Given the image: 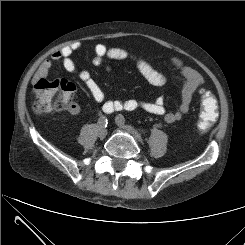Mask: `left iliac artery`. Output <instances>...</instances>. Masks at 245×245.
I'll return each instance as SVG.
<instances>
[{
	"instance_id": "1",
	"label": "left iliac artery",
	"mask_w": 245,
	"mask_h": 245,
	"mask_svg": "<svg viewBox=\"0 0 245 245\" xmlns=\"http://www.w3.org/2000/svg\"><path fill=\"white\" fill-rule=\"evenodd\" d=\"M120 116V119L125 123V118H124V116L123 115H119ZM142 132H145L144 130H141Z\"/></svg>"
}]
</instances>
